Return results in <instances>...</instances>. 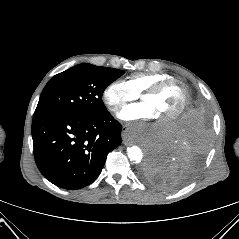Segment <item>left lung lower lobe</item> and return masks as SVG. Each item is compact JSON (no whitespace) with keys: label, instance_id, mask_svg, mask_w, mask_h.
<instances>
[{"label":"left lung lower lobe","instance_id":"left-lung-lower-lobe-1","mask_svg":"<svg viewBox=\"0 0 239 239\" xmlns=\"http://www.w3.org/2000/svg\"><path fill=\"white\" fill-rule=\"evenodd\" d=\"M209 145V117L194 99L161 142L150 152L145 178L164 190L189 182L204 160Z\"/></svg>","mask_w":239,"mask_h":239}]
</instances>
